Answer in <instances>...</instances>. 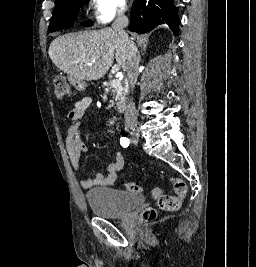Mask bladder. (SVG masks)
Returning <instances> with one entry per match:
<instances>
[{"label":"bladder","instance_id":"obj_1","mask_svg":"<svg viewBox=\"0 0 256 267\" xmlns=\"http://www.w3.org/2000/svg\"><path fill=\"white\" fill-rule=\"evenodd\" d=\"M143 195H125L123 191L111 188L93 189L86 193L85 200L91 212L98 217L119 218L143 205Z\"/></svg>","mask_w":256,"mask_h":267}]
</instances>
